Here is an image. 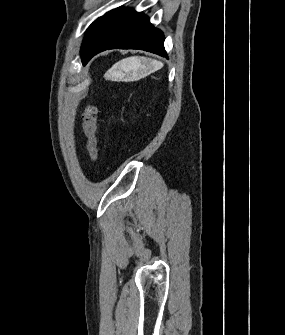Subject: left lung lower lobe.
<instances>
[{
  "instance_id": "left-lung-lower-lobe-1",
  "label": "left lung lower lobe",
  "mask_w": 285,
  "mask_h": 335,
  "mask_svg": "<svg viewBox=\"0 0 285 335\" xmlns=\"http://www.w3.org/2000/svg\"><path fill=\"white\" fill-rule=\"evenodd\" d=\"M141 49L167 57L162 31L149 18L132 9L116 8L88 28L81 49L83 65L107 49Z\"/></svg>"
}]
</instances>
